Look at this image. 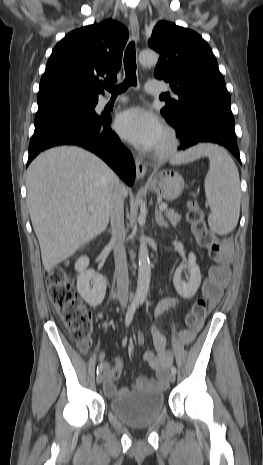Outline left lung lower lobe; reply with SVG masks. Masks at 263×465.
Masks as SVG:
<instances>
[{"label":"left lung lower lobe","instance_id":"left-lung-lower-lobe-1","mask_svg":"<svg viewBox=\"0 0 263 465\" xmlns=\"http://www.w3.org/2000/svg\"><path fill=\"white\" fill-rule=\"evenodd\" d=\"M167 122L178 131L180 149L185 150L201 142L217 143L230 150L241 163L230 109L202 105Z\"/></svg>","mask_w":263,"mask_h":465}]
</instances>
